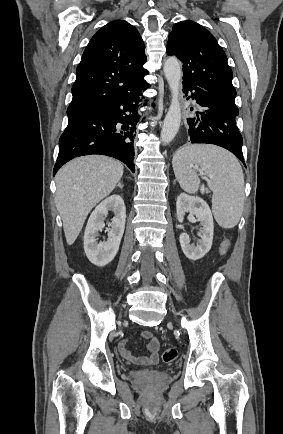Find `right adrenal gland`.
<instances>
[{
  "label": "right adrenal gland",
  "instance_id": "right-adrenal-gland-1",
  "mask_svg": "<svg viewBox=\"0 0 283 434\" xmlns=\"http://www.w3.org/2000/svg\"><path fill=\"white\" fill-rule=\"evenodd\" d=\"M117 187H119V188L123 189V187H124V186L122 185V183H121V182H119V183H118V185H117Z\"/></svg>",
  "mask_w": 283,
  "mask_h": 434
}]
</instances>
